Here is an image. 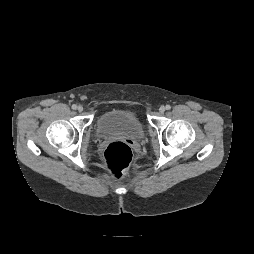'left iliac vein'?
Masks as SVG:
<instances>
[{
  "instance_id": "4c4485c4",
  "label": "left iliac vein",
  "mask_w": 254,
  "mask_h": 254,
  "mask_svg": "<svg viewBox=\"0 0 254 254\" xmlns=\"http://www.w3.org/2000/svg\"><path fill=\"white\" fill-rule=\"evenodd\" d=\"M165 112V107L164 106H161L160 108H159V113H164Z\"/></svg>"
}]
</instances>
